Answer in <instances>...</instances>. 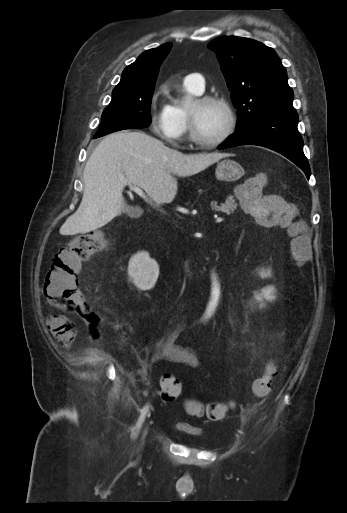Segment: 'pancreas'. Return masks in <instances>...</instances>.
<instances>
[{
  "instance_id": "1",
  "label": "pancreas",
  "mask_w": 347,
  "mask_h": 513,
  "mask_svg": "<svg viewBox=\"0 0 347 513\" xmlns=\"http://www.w3.org/2000/svg\"><path fill=\"white\" fill-rule=\"evenodd\" d=\"M212 210L216 212H223L226 215H231L234 213V210L237 208V204L233 198V196H228L224 203L218 205L216 202L211 203Z\"/></svg>"
}]
</instances>
